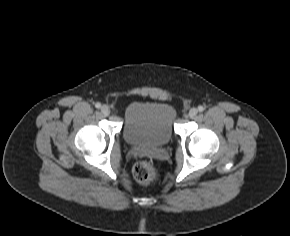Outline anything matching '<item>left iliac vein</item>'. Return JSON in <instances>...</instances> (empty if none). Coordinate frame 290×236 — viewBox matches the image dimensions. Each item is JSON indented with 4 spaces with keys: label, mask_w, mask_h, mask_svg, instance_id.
<instances>
[{
    "label": "left iliac vein",
    "mask_w": 290,
    "mask_h": 236,
    "mask_svg": "<svg viewBox=\"0 0 290 236\" xmlns=\"http://www.w3.org/2000/svg\"><path fill=\"white\" fill-rule=\"evenodd\" d=\"M198 114V110L196 108H191L189 110V117L194 118Z\"/></svg>",
    "instance_id": "obj_1"
}]
</instances>
